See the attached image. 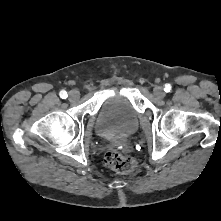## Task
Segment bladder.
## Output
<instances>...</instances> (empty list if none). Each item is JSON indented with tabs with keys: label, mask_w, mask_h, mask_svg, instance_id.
Returning a JSON list of instances; mask_svg holds the SVG:
<instances>
[{
	"label": "bladder",
	"mask_w": 221,
	"mask_h": 221,
	"mask_svg": "<svg viewBox=\"0 0 221 221\" xmlns=\"http://www.w3.org/2000/svg\"><path fill=\"white\" fill-rule=\"evenodd\" d=\"M138 126L137 111L126 97L118 93L103 101L95 122L97 134L105 138L130 136Z\"/></svg>",
	"instance_id": "bladder-1"
}]
</instances>
